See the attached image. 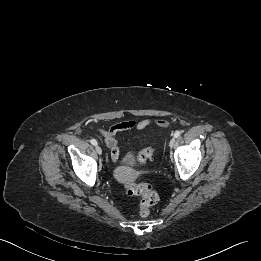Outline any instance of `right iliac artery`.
<instances>
[{
  "label": "right iliac artery",
  "instance_id": "obj_1",
  "mask_svg": "<svg viewBox=\"0 0 261 261\" xmlns=\"http://www.w3.org/2000/svg\"><path fill=\"white\" fill-rule=\"evenodd\" d=\"M90 142H91V144L94 145V146L97 145V141H96L95 139H91Z\"/></svg>",
  "mask_w": 261,
  "mask_h": 261
}]
</instances>
